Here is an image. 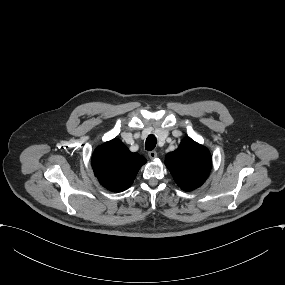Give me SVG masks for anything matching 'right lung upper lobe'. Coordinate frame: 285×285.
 <instances>
[{"label":"right lung upper lobe","instance_id":"obj_1","mask_svg":"<svg viewBox=\"0 0 285 285\" xmlns=\"http://www.w3.org/2000/svg\"><path fill=\"white\" fill-rule=\"evenodd\" d=\"M146 161L142 155L130 152L120 140L113 139L97 147L91 163L102 186L121 192L131 186Z\"/></svg>","mask_w":285,"mask_h":285}]
</instances>
